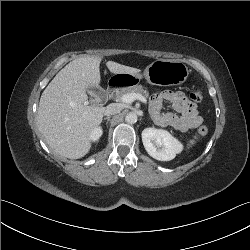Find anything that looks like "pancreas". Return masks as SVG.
Wrapping results in <instances>:
<instances>
[{"instance_id":"pancreas-1","label":"pancreas","mask_w":250,"mask_h":250,"mask_svg":"<svg viewBox=\"0 0 250 250\" xmlns=\"http://www.w3.org/2000/svg\"><path fill=\"white\" fill-rule=\"evenodd\" d=\"M129 93L141 94L145 97H148V95H149L148 91L146 89H144L142 85H136V86L121 88V89L117 90L116 97L118 99H121V97L123 95L129 94Z\"/></svg>"}]
</instances>
